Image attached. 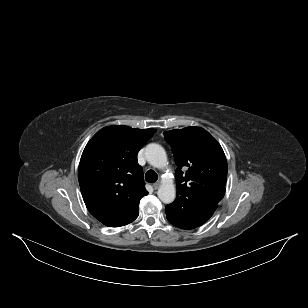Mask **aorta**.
Listing matches in <instances>:
<instances>
[{
	"instance_id": "1",
	"label": "aorta",
	"mask_w": 308,
	"mask_h": 308,
	"mask_svg": "<svg viewBox=\"0 0 308 308\" xmlns=\"http://www.w3.org/2000/svg\"><path fill=\"white\" fill-rule=\"evenodd\" d=\"M145 156L149 164L156 168H163L167 164V155L159 144H149L145 149ZM159 199L165 203H172L176 197V188L172 181H164L158 189Z\"/></svg>"
}]
</instances>
